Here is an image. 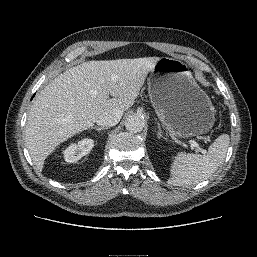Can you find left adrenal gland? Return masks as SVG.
Instances as JSON below:
<instances>
[{"label":"left adrenal gland","instance_id":"left-adrenal-gland-1","mask_svg":"<svg viewBox=\"0 0 257 257\" xmlns=\"http://www.w3.org/2000/svg\"><path fill=\"white\" fill-rule=\"evenodd\" d=\"M157 125H158V138H161V137H163L162 130H161V127L158 122H157Z\"/></svg>","mask_w":257,"mask_h":257}]
</instances>
